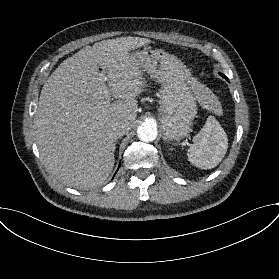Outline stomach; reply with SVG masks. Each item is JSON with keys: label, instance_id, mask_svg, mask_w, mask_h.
Wrapping results in <instances>:
<instances>
[{"label": "stomach", "instance_id": "1", "mask_svg": "<svg viewBox=\"0 0 279 279\" xmlns=\"http://www.w3.org/2000/svg\"><path fill=\"white\" fill-rule=\"evenodd\" d=\"M143 71L162 84L158 117L166 141L188 136L197 114L196 96L189 69L176 56L162 49L144 48L134 53Z\"/></svg>", "mask_w": 279, "mask_h": 279}]
</instances>
